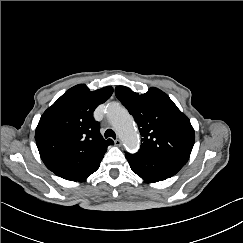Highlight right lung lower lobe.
I'll return each instance as SVG.
<instances>
[{
  "instance_id": "right-lung-lower-lobe-1",
  "label": "right lung lower lobe",
  "mask_w": 243,
  "mask_h": 243,
  "mask_svg": "<svg viewBox=\"0 0 243 243\" xmlns=\"http://www.w3.org/2000/svg\"><path fill=\"white\" fill-rule=\"evenodd\" d=\"M99 166H100V164H96L94 166L87 168L86 170H84L82 172L65 175V176H62V178L67 179V180H71V181L81 182V181L86 180V178L89 175L94 173L99 168Z\"/></svg>"
}]
</instances>
